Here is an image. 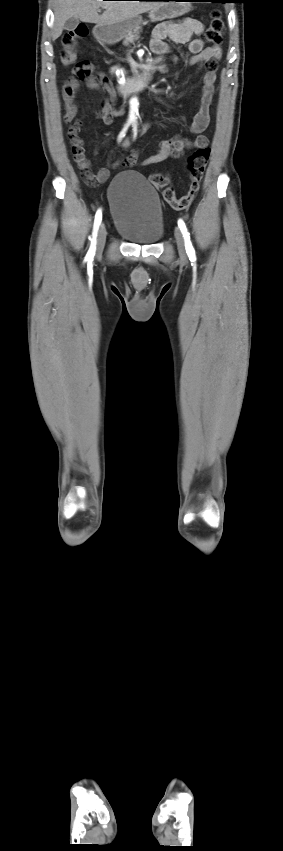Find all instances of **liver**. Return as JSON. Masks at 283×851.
<instances>
[{"label": "liver", "mask_w": 283, "mask_h": 851, "mask_svg": "<svg viewBox=\"0 0 283 851\" xmlns=\"http://www.w3.org/2000/svg\"><path fill=\"white\" fill-rule=\"evenodd\" d=\"M55 3L53 40L62 34L65 22L71 17L87 23L114 24L161 5L157 1L56 0ZM99 7L105 9L102 15L97 12Z\"/></svg>", "instance_id": "6515ba94"}]
</instances>
